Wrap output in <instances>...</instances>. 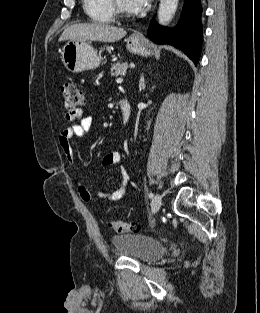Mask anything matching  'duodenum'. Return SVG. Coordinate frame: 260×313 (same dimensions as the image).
Segmentation results:
<instances>
[{
	"mask_svg": "<svg viewBox=\"0 0 260 313\" xmlns=\"http://www.w3.org/2000/svg\"><path fill=\"white\" fill-rule=\"evenodd\" d=\"M120 108L122 114L123 124L126 125L129 122L131 116V106L130 103L126 99H122L120 101Z\"/></svg>",
	"mask_w": 260,
	"mask_h": 313,
	"instance_id": "410a0bca",
	"label": "duodenum"
}]
</instances>
